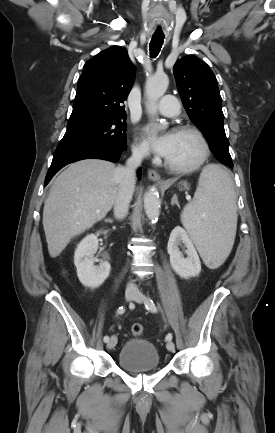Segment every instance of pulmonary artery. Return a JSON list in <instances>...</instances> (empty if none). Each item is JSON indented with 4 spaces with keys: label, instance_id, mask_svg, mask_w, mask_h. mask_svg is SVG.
Segmentation results:
<instances>
[{
    "label": "pulmonary artery",
    "instance_id": "obj_1",
    "mask_svg": "<svg viewBox=\"0 0 275 433\" xmlns=\"http://www.w3.org/2000/svg\"><path fill=\"white\" fill-rule=\"evenodd\" d=\"M156 108L162 115L167 117H174L180 113L179 101L172 95L164 96Z\"/></svg>",
    "mask_w": 275,
    "mask_h": 433
}]
</instances>
